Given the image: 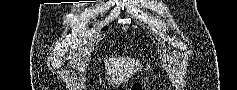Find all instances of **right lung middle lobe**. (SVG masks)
<instances>
[{"instance_id":"1","label":"right lung middle lobe","mask_w":237,"mask_h":90,"mask_svg":"<svg viewBox=\"0 0 237 90\" xmlns=\"http://www.w3.org/2000/svg\"><path fill=\"white\" fill-rule=\"evenodd\" d=\"M108 27H104L102 30H107Z\"/></svg>"}]
</instances>
